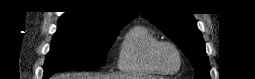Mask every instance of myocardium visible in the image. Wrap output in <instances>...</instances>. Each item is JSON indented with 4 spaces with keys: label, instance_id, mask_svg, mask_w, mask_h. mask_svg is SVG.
<instances>
[{
    "label": "myocardium",
    "instance_id": "f54148a6",
    "mask_svg": "<svg viewBox=\"0 0 255 79\" xmlns=\"http://www.w3.org/2000/svg\"><path fill=\"white\" fill-rule=\"evenodd\" d=\"M163 46H169L171 47L175 52L176 54L178 55V58H179V64H178V67L174 70H170V69H167L165 68L164 66L161 65V63L159 62V59H158V51L161 47ZM149 60H150V63L151 65L157 70L159 71L160 73H164V74H174L176 73L177 71H179L183 65V56H182V52L181 50L179 49V47L171 42V41H158L156 42L149 50Z\"/></svg>",
    "mask_w": 255,
    "mask_h": 79
}]
</instances>
